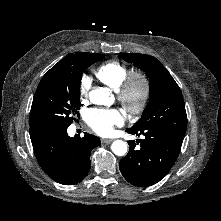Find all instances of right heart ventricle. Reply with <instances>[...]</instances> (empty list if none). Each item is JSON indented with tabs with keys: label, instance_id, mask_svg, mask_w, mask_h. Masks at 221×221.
Wrapping results in <instances>:
<instances>
[{
	"label": "right heart ventricle",
	"instance_id": "e07e8e85",
	"mask_svg": "<svg viewBox=\"0 0 221 221\" xmlns=\"http://www.w3.org/2000/svg\"><path fill=\"white\" fill-rule=\"evenodd\" d=\"M130 73V69L118 61H107L97 67L95 76L105 85L117 91L124 79Z\"/></svg>",
	"mask_w": 221,
	"mask_h": 221
}]
</instances>
